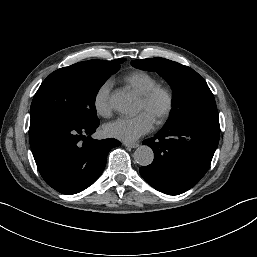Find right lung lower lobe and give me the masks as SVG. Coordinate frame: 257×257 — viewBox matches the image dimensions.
Segmentation results:
<instances>
[{
	"label": "right lung lower lobe",
	"mask_w": 257,
	"mask_h": 257,
	"mask_svg": "<svg viewBox=\"0 0 257 257\" xmlns=\"http://www.w3.org/2000/svg\"><path fill=\"white\" fill-rule=\"evenodd\" d=\"M99 121L73 124L53 117L30 120V147L45 182L63 194L78 193L100 176L108 152L121 143L113 138L95 140Z\"/></svg>",
	"instance_id": "98d812e1"
}]
</instances>
